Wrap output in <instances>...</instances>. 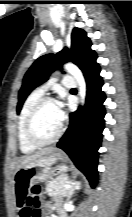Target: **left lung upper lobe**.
I'll return each mask as SVG.
<instances>
[{
    "instance_id": "left-lung-upper-lobe-1",
    "label": "left lung upper lobe",
    "mask_w": 132,
    "mask_h": 217,
    "mask_svg": "<svg viewBox=\"0 0 132 217\" xmlns=\"http://www.w3.org/2000/svg\"><path fill=\"white\" fill-rule=\"evenodd\" d=\"M90 47L91 41L85 31L74 28L71 36L70 50L64 48L56 55L47 54L38 58L24 76L18 95L17 113L20 112L30 92L35 87L44 83L54 70L61 68L63 63L71 60L82 70L85 77L90 74L98 66L96 63V53Z\"/></svg>"
}]
</instances>
